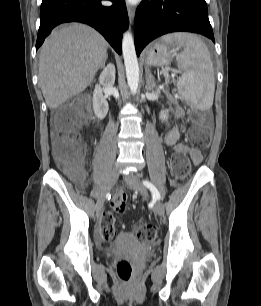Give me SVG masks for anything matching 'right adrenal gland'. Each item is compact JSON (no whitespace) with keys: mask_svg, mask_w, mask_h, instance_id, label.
<instances>
[{"mask_svg":"<svg viewBox=\"0 0 261 306\" xmlns=\"http://www.w3.org/2000/svg\"><path fill=\"white\" fill-rule=\"evenodd\" d=\"M105 66V63L102 65V67H104Z\"/></svg>","mask_w":261,"mask_h":306,"instance_id":"1","label":"right adrenal gland"}]
</instances>
